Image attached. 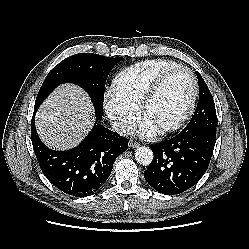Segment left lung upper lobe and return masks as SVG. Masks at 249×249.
<instances>
[{
    "instance_id": "5c2ea615",
    "label": "left lung upper lobe",
    "mask_w": 249,
    "mask_h": 249,
    "mask_svg": "<svg viewBox=\"0 0 249 249\" xmlns=\"http://www.w3.org/2000/svg\"><path fill=\"white\" fill-rule=\"evenodd\" d=\"M197 78L199 84V101L192 119L182 132L196 129L216 131L217 116L213 97L205 81L198 72Z\"/></svg>"
}]
</instances>
